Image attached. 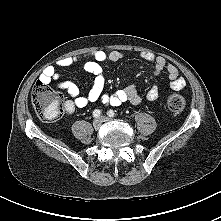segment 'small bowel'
I'll return each mask as SVG.
<instances>
[{"label": "small bowel", "instance_id": "small-bowel-1", "mask_svg": "<svg viewBox=\"0 0 221 221\" xmlns=\"http://www.w3.org/2000/svg\"><path fill=\"white\" fill-rule=\"evenodd\" d=\"M140 56L142 59L153 64L155 75H159L163 70L167 71L171 89L179 91L186 86V81L180 76L178 69L172 64H167L163 57L155 56L149 52H142ZM124 57L125 54L121 51L106 52L98 50L90 54L74 55L60 59L57 63L58 67L82 64L83 69L93 76L92 87L86 95L80 94V89L74 82L60 80V73L55 66H47L40 75L39 81L46 84L56 81L57 88L68 94L69 98L64 103V110L67 115H71L77 108H83L95 101H101L104 104L112 106H119L124 102L138 105L142 99L138 90L133 85L112 94L104 93V66L111 62L119 61ZM158 96L159 92L156 86H152L147 92V99L150 101H155Z\"/></svg>", "mask_w": 221, "mask_h": 221}]
</instances>
